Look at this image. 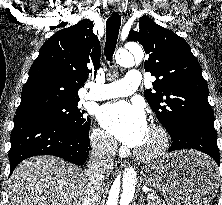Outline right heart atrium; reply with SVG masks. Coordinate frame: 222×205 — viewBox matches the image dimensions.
<instances>
[{
  "label": "right heart atrium",
  "mask_w": 222,
  "mask_h": 205,
  "mask_svg": "<svg viewBox=\"0 0 222 205\" xmlns=\"http://www.w3.org/2000/svg\"><path fill=\"white\" fill-rule=\"evenodd\" d=\"M92 147L104 156H110L114 152V141L102 129L94 128L90 136Z\"/></svg>",
  "instance_id": "1"
}]
</instances>
